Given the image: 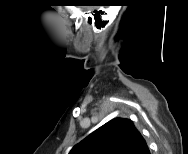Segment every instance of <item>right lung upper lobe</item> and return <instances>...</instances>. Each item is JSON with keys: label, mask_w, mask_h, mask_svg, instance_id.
<instances>
[{"label": "right lung upper lobe", "mask_w": 188, "mask_h": 154, "mask_svg": "<svg viewBox=\"0 0 188 154\" xmlns=\"http://www.w3.org/2000/svg\"><path fill=\"white\" fill-rule=\"evenodd\" d=\"M69 154H150V151L131 120L115 118L75 145Z\"/></svg>", "instance_id": "obj_1"}]
</instances>
